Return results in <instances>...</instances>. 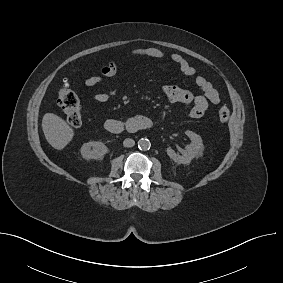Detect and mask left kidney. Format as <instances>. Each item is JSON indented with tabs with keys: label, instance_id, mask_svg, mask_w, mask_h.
Returning a JSON list of instances; mask_svg holds the SVG:
<instances>
[{
	"label": "left kidney",
	"instance_id": "5707ae66",
	"mask_svg": "<svg viewBox=\"0 0 283 283\" xmlns=\"http://www.w3.org/2000/svg\"><path fill=\"white\" fill-rule=\"evenodd\" d=\"M185 134L190 138L191 144L186 147V150L182 151L181 155L177 154L172 148H167L168 156L178 164H190L203 149L202 138L198 134L189 130Z\"/></svg>",
	"mask_w": 283,
	"mask_h": 283
}]
</instances>
